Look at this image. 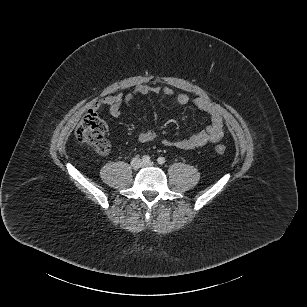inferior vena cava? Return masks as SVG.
<instances>
[{"instance_id":"1","label":"inferior vena cava","mask_w":307,"mask_h":307,"mask_svg":"<svg viewBox=\"0 0 307 307\" xmlns=\"http://www.w3.org/2000/svg\"><path fill=\"white\" fill-rule=\"evenodd\" d=\"M131 164H132L133 167L138 168V167L141 166L142 161H141L140 158L135 157V158L132 159Z\"/></svg>"}]
</instances>
